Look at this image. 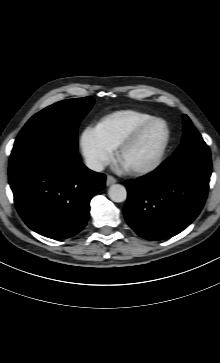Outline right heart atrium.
Instances as JSON below:
<instances>
[{
  "mask_svg": "<svg viewBox=\"0 0 220 363\" xmlns=\"http://www.w3.org/2000/svg\"><path fill=\"white\" fill-rule=\"evenodd\" d=\"M79 145L82 157L91 170H102L113 158L112 148L98 135L95 127L82 131Z\"/></svg>",
  "mask_w": 220,
  "mask_h": 363,
  "instance_id": "obj_1",
  "label": "right heart atrium"
}]
</instances>
